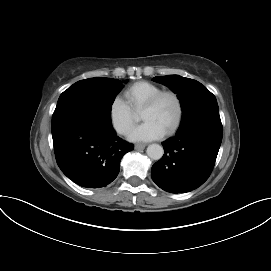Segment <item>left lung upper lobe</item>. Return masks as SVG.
Segmentation results:
<instances>
[{"label": "left lung upper lobe", "instance_id": "obj_1", "mask_svg": "<svg viewBox=\"0 0 271 271\" xmlns=\"http://www.w3.org/2000/svg\"><path fill=\"white\" fill-rule=\"evenodd\" d=\"M153 81L177 94L183 112L181 125L197 117L219 115L215 96L198 81L179 75L157 76Z\"/></svg>", "mask_w": 271, "mask_h": 271}]
</instances>
